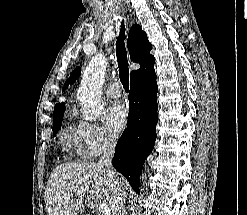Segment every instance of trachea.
Wrapping results in <instances>:
<instances>
[{"label":"trachea","instance_id":"obj_1","mask_svg":"<svg viewBox=\"0 0 247 215\" xmlns=\"http://www.w3.org/2000/svg\"><path fill=\"white\" fill-rule=\"evenodd\" d=\"M124 21H122V25L120 28V34L118 36L116 42V56L119 68V77L120 81L125 90H129V67H128V59H127V51L125 48V28L123 25Z\"/></svg>","mask_w":247,"mask_h":215}]
</instances>
